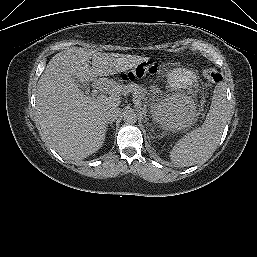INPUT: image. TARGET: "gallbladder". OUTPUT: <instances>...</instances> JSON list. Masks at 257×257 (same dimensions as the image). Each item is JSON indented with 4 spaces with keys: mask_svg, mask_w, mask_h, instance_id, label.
I'll use <instances>...</instances> for the list:
<instances>
[{
    "mask_svg": "<svg viewBox=\"0 0 257 257\" xmlns=\"http://www.w3.org/2000/svg\"><path fill=\"white\" fill-rule=\"evenodd\" d=\"M75 80H76V82L78 83V85H79L82 89H84V90L87 89V83H85V82H79L77 79H75Z\"/></svg>",
    "mask_w": 257,
    "mask_h": 257,
    "instance_id": "bac80fb5",
    "label": "gallbladder"
}]
</instances>
